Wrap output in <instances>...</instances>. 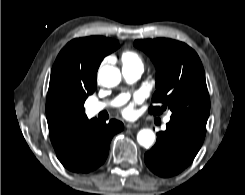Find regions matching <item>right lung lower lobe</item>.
Listing matches in <instances>:
<instances>
[{
  "mask_svg": "<svg viewBox=\"0 0 245 195\" xmlns=\"http://www.w3.org/2000/svg\"><path fill=\"white\" fill-rule=\"evenodd\" d=\"M124 125L115 119L109 123L91 119L87 122L71 145L56 153L62 165L74 173H89L106 160L110 141Z\"/></svg>",
  "mask_w": 245,
  "mask_h": 195,
  "instance_id": "right-lung-lower-lobe-1",
  "label": "right lung lower lobe"
}]
</instances>
